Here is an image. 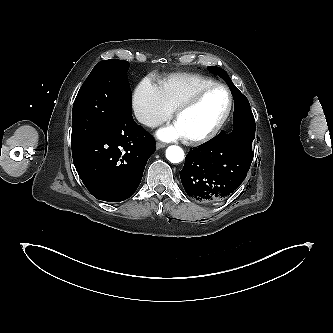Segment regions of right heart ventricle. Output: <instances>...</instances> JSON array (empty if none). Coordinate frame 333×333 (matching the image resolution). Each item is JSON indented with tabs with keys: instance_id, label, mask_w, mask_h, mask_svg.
<instances>
[{
	"instance_id": "e07e8e85",
	"label": "right heart ventricle",
	"mask_w": 333,
	"mask_h": 333,
	"mask_svg": "<svg viewBox=\"0 0 333 333\" xmlns=\"http://www.w3.org/2000/svg\"><path fill=\"white\" fill-rule=\"evenodd\" d=\"M213 83V79L204 75L176 73L162 80L159 89L167 105L174 111L196 91Z\"/></svg>"
}]
</instances>
